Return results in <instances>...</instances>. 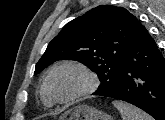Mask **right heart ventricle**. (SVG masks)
I'll list each match as a JSON object with an SVG mask.
<instances>
[{
	"label": "right heart ventricle",
	"instance_id": "1",
	"mask_svg": "<svg viewBox=\"0 0 165 120\" xmlns=\"http://www.w3.org/2000/svg\"><path fill=\"white\" fill-rule=\"evenodd\" d=\"M41 99L44 102L45 105L51 106L53 102L50 100V98L47 96L44 87L42 85L41 87Z\"/></svg>",
	"mask_w": 165,
	"mask_h": 120
}]
</instances>
